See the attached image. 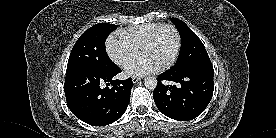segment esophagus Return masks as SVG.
<instances>
[{"instance_id": "1", "label": "esophagus", "mask_w": 276, "mask_h": 138, "mask_svg": "<svg viewBox=\"0 0 276 138\" xmlns=\"http://www.w3.org/2000/svg\"><path fill=\"white\" fill-rule=\"evenodd\" d=\"M140 80H141L140 77H132L133 83H137V82L140 81Z\"/></svg>"}]
</instances>
